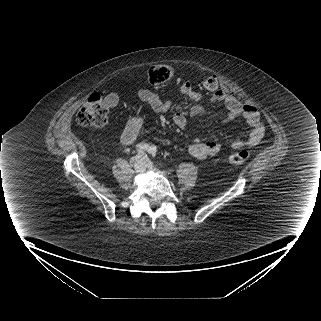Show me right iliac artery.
Instances as JSON below:
<instances>
[{
  "instance_id": "82829eb1",
  "label": "right iliac artery",
  "mask_w": 321,
  "mask_h": 321,
  "mask_svg": "<svg viewBox=\"0 0 321 321\" xmlns=\"http://www.w3.org/2000/svg\"><path fill=\"white\" fill-rule=\"evenodd\" d=\"M150 146L146 143H140L136 146V150L138 152H145L147 150H149Z\"/></svg>"
}]
</instances>
